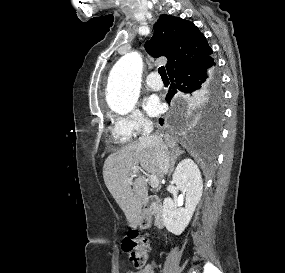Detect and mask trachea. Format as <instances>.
Returning <instances> with one entry per match:
<instances>
[{"label":"trachea","instance_id":"3493384b","mask_svg":"<svg viewBox=\"0 0 285 273\" xmlns=\"http://www.w3.org/2000/svg\"><path fill=\"white\" fill-rule=\"evenodd\" d=\"M158 72H159L162 79H168V76H167V73H166L164 66L159 67Z\"/></svg>","mask_w":285,"mask_h":273}]
</instances>
